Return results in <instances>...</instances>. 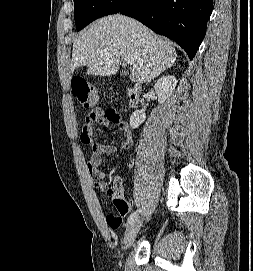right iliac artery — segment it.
I'll return each mask as SVG.
<instances>
[{"label":"right iliac artery","instance_id":"82829eb1","mask_svg":"<svg viewBox=\"0 0 253 271\" xmlns=\"http://www.w3.org/2000/svg\"><path fill=\"white\" fill-rule=\"evenodd\" d=\"M138 211H134L128 218V223L133 222L137 218Z\"/></svg>","mask_w":253,"mask_h":271}]
</instances>
